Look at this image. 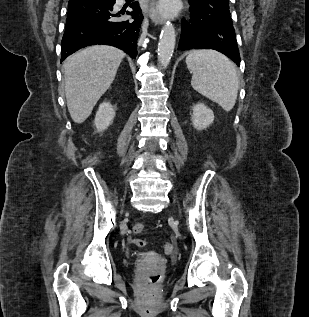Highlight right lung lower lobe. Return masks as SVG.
<instances>
[{"mask_svg":"<svg viewBox=\"0 0 309 317\" xmlns=\"http://www.w3.org/2000/svg\"><path fill=\"white\" fill-rule=\"evenodd\" d=\"M114 4L115 0H69L61 62L80 48L95 44L112 45L136 57L143 20L140 6L134 2L131 11H118Z\"/></svg>","mask_w":309,"mask_h":317,"instance_id":"1","label":"right lung lower lobe"}]
</instances>
